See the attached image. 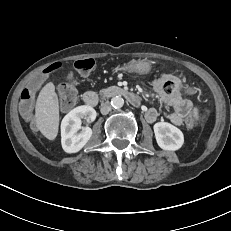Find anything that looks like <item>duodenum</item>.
<instances>
[{"instance_id":"410a0bca","label":"duodenum","mask_w":231,"mask_h":231,"mask_svg":"<svg viewBox=\"0 0 231 231\" xmlns=\"http://www.w3.org/2000/svg\"><path fill=\"white\" fill-rule=\"evenodd\" d=\"M115 96L125 97L132 105L138 107L140 105L139 97L133 92L118 86H110L101 91L100 94L88 91L84 94V102L90 106L95 107L101 99L111 98Z\"/></svg>"}]
</instances>
